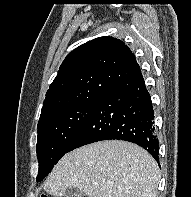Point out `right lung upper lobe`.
Segmentation results:
<instances>
[{
    "label": "right lung upper lobe",
    "instance_id": "obj_1",
    "mask_svg": "<svg viewBox=\"0 0 191 197\" xmlns=\"http://www.w3.org/2000/svg\"><path fill=\"white\" fill-rule=\"evenodd\" d=\"M129 47L119 39H93L64 59L49 86L40 120L79 104L97 102L115 84L140 74Z\"/></svg>",
    "mask_w": 191,
    "mask_h": 197
}]
</instances>
